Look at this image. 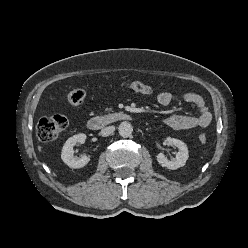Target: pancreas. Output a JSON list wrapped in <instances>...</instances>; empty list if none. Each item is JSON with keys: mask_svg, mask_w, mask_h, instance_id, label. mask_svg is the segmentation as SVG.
I'll return each instance as SVG.
<instances>
[{"mask_svg": "<svg viewBox=\"0 0 248 248\" xmlns=\"http://www.w3.org/2000/svg\"><path fill=\"white\" fill-rule=\"evenodd\" d=\"M112 109L111 108H106L105 111H111Z\"/></svg>", "mask_w": 248, "mask_h": 248, "instance_id": "cf45deb5", "label": "pancreas"}]
</instances>
